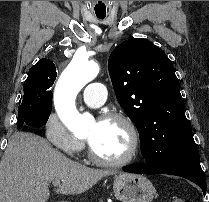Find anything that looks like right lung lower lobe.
Returning a JSON list of instances; mask_svg holds the SVG:
<instances>
[{
    "label": "right lung lower lobe",
    "mask_w": 209,
    "mask_h": 202,
    "mask_svg": "<svg viewBox=\"0 0 209 202\" xmlns=\"http://www.w3.org/2000/svg\"><path fill=\"white\" fill-rule=\"evenodd\" d=\"M45 125H42V126H32V125H29V124H24V127H27V128H30V129H34V130H39V129H42Z\"/></svg>",
    "instance_id": "right-lung-lower-lobe-1"
}]
</instances>
